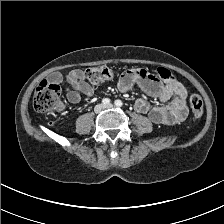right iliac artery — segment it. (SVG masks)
<instances>
[{
    "label": "right iliac artery",
    "mask_w": 224,
    "mask_h": 224,
    "mask_svg": "<svg viewBox=\"0 0 224 224\" xmlns=\"http://www.w3.org/2000/svg\"><path fill=\"white\" fill-rule=\"evenodd\" d=\"M102 103H103L104 105H109V104H110V99H108V98H104V99L102 100Z\"/></svg>",
    "instance_id": "right-iliac-artery-1"
}]
</instances>
